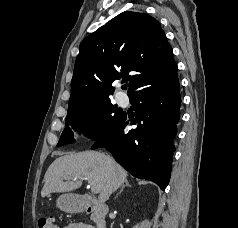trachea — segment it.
I'll return each instance as SVG.
<instances>
[{
    "mask_svg": "<svg viewBox=\"0 0 238 228\" xmlns=\"http://www.w3.org/2000/svg\"><path fill=\"white\" fill-rule=\"evenodd\" d=\"M124 89H127V86H124Z\"/></svg>",
    "mask_w": 238,
    "mask_h": 228,
    "instance_id": "3493384b",
    "label": "trachea"
}]
</instances>
